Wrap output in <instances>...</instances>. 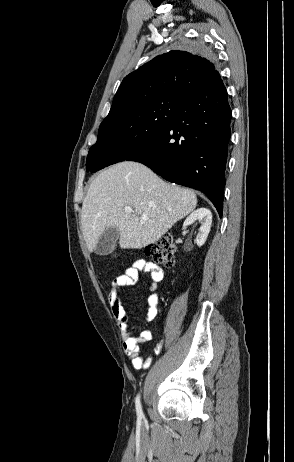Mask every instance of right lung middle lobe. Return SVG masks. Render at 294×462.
<instances>
[{
	"mask_svg": "<svg viewBox=\"0 0 294 462\" xmlns=\"http://www.w3.org/2000/svg\"><path fill=\"white\" fill-rule=\"evenodd\" d=\"M189 46L195 53L212 55L202 41ZM185 97L167 94L109 113L100 125L97 142L88 156L100 157L103 168L126 160L144 142L160 133L178 113Z\"/></svg>",
	"mask_w": 294,
	"mask_h": 462,
	"instance_id": "right-lung-middle-lobe-1",
	"label": "right lung middle lobe"
}]
</instances>
